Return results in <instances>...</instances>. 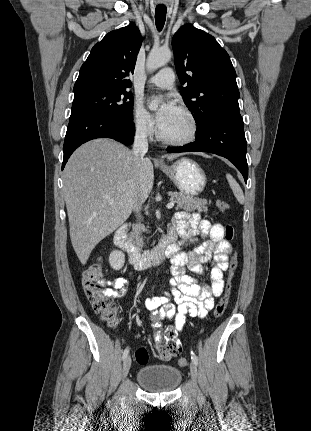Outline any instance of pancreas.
I'll return each mask as SVG.
<instances>
[{"label": "pancreas", "instance_id": "cf45deb5", "mask_svg": "<svg viewBox=\"0 0 311 431\" xmlns=\"http://www.w3.org/2000/svg\"><path fill=\"white\" fill-rule=\"evenodd\" d=\"M169 196L171 198H175L174 202L177 204L175 210H184V212H208V204L211 202H207V200H202V198H193V196H187V194H180V192H170ZM141 231H148L144 225L141 223H134L130 235V239L140 245L143 243V239L141 237Z\"/></svg>", "mask_w": 311, "mask_h": 431}]
</instances>
